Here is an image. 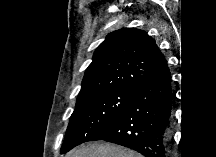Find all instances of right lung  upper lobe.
Segmentation results:
<instances>
[{
	"mask_svg": "<svg viewBox=\"0 0 216 157\" xmlns=\"http://www.w3.org/2000/svg\"><path fill=\"white\" fill-rule=\"evenodd\" d=\"M92 59L77 99L114 88H134L167 66L155 41L136 28L110 33L95 50Z\"/></svg>",
	"mask_w": 216,
	"mask_h": 157,
	"instance_id": "obj_1",
	"label": "right lung upper lobe"
}]
</instances>
